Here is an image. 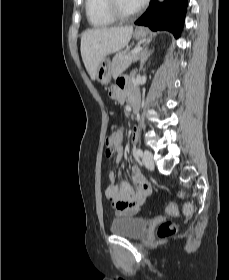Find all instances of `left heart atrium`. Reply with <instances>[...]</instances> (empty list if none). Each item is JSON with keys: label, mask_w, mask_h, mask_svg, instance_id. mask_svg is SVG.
<instances>
[{"label": "left heart atrium", "mask_w": 229, "mask_h": 280, "mask_svg": "<svg viewBox=\"0 0 229 280\" xmlns=\"http://www.w3.org/2000/svg\"><path fill=\"white\" fill-rule=\"evenodd\" d=\"M137 8H140L146 4L148 0H131Z\"/></svg>", "instance_id": "left-heart-atrium-1"}]
</instances>
